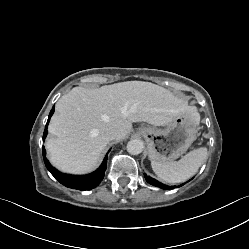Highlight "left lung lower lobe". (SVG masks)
Instances as JSON below:
<instances>
[{
	"label": "left lung lower lobe",
	"mask_w": 249,
	"mask_h": 249,
	"mask_svg": "<svg viewBox=\"0 0 249 249\" xmlns=\"http://www.w3.org/2000/svg\"><path fill=\"white\" fill-rule=\"evenodd\" d=\"M145 178H146V180H147L148 183H150V184H152V185H154V186H156V187L165 189V190L172 189V188L175 187V186H167V185H164V184L158 182L157 180H155V179H153V178H151V177H147L146 175H145Z\"/></svg>",
	"instance_id": "1"
}]
</instances>
